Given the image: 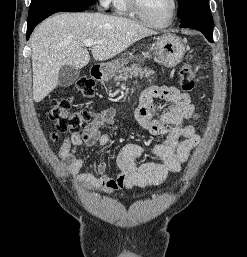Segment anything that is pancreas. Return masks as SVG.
Wrapping results in <instances>:
<instances>
[{"label": "pancreas", "mask_w": 247, "mask_h": 257, "mask_svg": "<svg viewBox=\"0 0 247 257\" xmlns=\"http://www.w3.org/2000/svg\"><path fill=\"white\" fill-rule=\"evenodd\" d=\"M153 73L152 70L142 68L138 64H132L129 67H123L118 70V75H115L114 81L116 85H119L120 81L127 80L132 77L148 78Z\"/></svg>", "instance_id": "obj_1"}]
</instances>
